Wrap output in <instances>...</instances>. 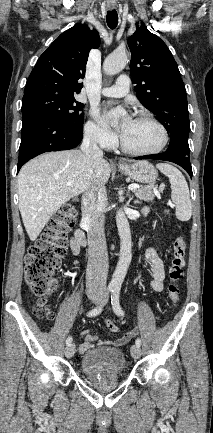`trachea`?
Instances as JSON below:
<instances>
[{
    "mask_svg": "<svg viewBox=\"0 0 213 433\" xmlns=\"http://www.w3.org/2000/svg\"><path fill=\"white\" fill-rule=\"evenodd\" d=\"M107 25L110 29H115L118 24V15L115 9L107 12Z\"/></svg>",
    "mask_w": 213,
    "mask_h": 433,
    "instance_id": "1",
    "label": "trachea"
}]
</instances>
